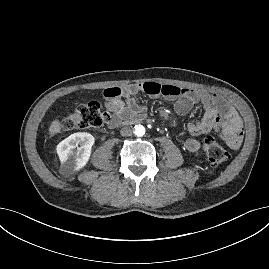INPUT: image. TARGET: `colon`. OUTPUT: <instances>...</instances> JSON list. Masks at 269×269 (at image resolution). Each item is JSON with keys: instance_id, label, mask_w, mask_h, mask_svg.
<instances>
[{"instance_id": "obj_1", "label": "colon", "mask_w": 269, "mask_h": 269, "mask_svg": "<svg viewBox=\"0 0 269 269\" xmlns=\"http://www.w3.org/2000/svg\"><path fill=\"white\" fill-rule=\"evenodd\" d=\"M111 116L104 111L98 102H89L77 106L70 114L62 120L64 130H81L99 128L110 122ZM202 148L214 165L225 163L229 154L224 147L218 144L212 136H205L202 141Z\"/></svg>"}]
</instances>
